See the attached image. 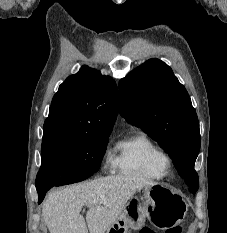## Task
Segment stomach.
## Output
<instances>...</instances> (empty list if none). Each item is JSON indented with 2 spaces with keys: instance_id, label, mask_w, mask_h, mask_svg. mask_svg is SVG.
<instances>
[{
  "instance_id": "0dacf381",
  "label": "stomach",
  "mask_w": 227,
  "mask_h": 233,
  "mask_svg": "<svg viewBox=\"0 0 227 233\" xmlns=\"http://www.w3.org/2000/svg\"><path fill=\"white\" fill-rule=\"evenodd\" d=\"M187 203L183 196L169 187L156 184L147 186L142 197L132 198L106 233H128L141 228L146 218L156 227L171 229L186 216Z\"/></svg>"
}]
</instances>
